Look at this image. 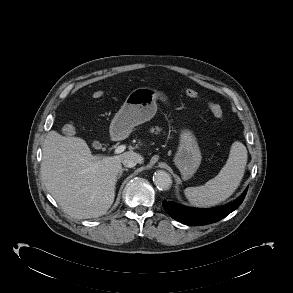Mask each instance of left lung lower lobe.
<instances>
[{
    "instance_id": "left-lung-lower-lobe-1",
    "label": "left lung lower lobe",
    "mask_w": 293,
    "mask_h": 293,
    "mask_svg": "<svg viewBox=\"0 0 293 293\" xmlns=\"http://www.w3.org/2000/svg\"><path fill=\"white\" fill-rule=\"evenodd\" d=\"M247 189L235 201L218 208L213 209H196L178 205L173 202L163 201L165 211L175 220L182 222L186 225H206L217 222L228 214L237 209L243 202Z\"/></svg>"
}]
</instances>
